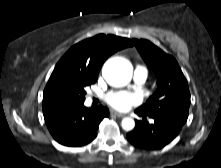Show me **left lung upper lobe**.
<instances>
[{"label":"left lung upper lobe","mask_w":221,"mask_h":168,"mask_svg":"<svg viewBox=\"0 0 221 168\" xmlns=\"http://www.w3.org/2000/svg\"><path fill=\"white\" fill-rule=\"evenodd\" d=\"M132 42L158 81L157 90L137 110L149 116H174L186 121L190 92L188 82L175 58L148 40L133 39Z\"/></svg>","instance_id":"5c2ea615"}]
</instances>
